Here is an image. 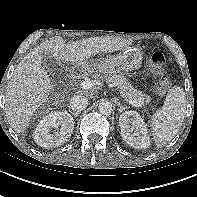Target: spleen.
Instances as JSON below:
<instances>
[{
	"instance_id": "spleen-1",
	"label": "spleen",
	"mask_w": 197,
	"mask_h": 197,
	"mask_svg": "<svg viewBox=\"0 0 197 197\" xmlns=\"http://www.w3.org/2000/svg\"><path fill=\"white\" fill-rule=\"evenodd\" d=\"M186 112V94L179 86H173L167 93L162 108L151 117L150 126L157 148H162L177 134Z\"/></svg>"
}]
</instances>
